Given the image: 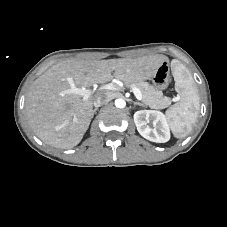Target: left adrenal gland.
<instances>
[{
	"instance_id": "obj_1",
	"label": "left adrenal gland",
	"mask_w": 227,
	"mask_h": 227,
	"mask_svg": "<svg viewBox=\"0 0 227 227\" xmlns=\"http://www.w3.org/2000/svg\"><path fill=\"white\" fill-rule=\"evenodd\" d=\"M134 105H138V106H144L142 103L140 102H133Z\"/></svg>"
}]
</instances>
